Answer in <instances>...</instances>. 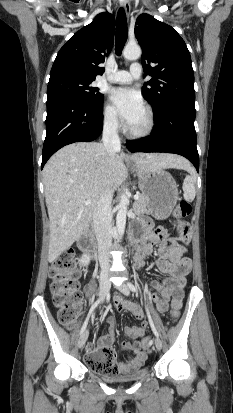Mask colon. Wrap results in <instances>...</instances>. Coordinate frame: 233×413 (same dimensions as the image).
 <instances>
[{
    "mask_svg": "<svg viewBox=\"0 0 233 413\" xmlns=\"http://www.w3.org/2000/svg\"><path fill=\"white\" fill-rule=\"evenodd\" d=\"M191 204L181 200L174 210L176 222L175 229L184 232L187 226L182 219L190 215ZM51 293L54 305L58 312L59 322L67 329L73 328L76 318L81 310L82 293L80 291V271L78 270L72 251H64L50 266ZM180 316V307L172 306L170 317L176 322ZM152 340L149 336L143 339L142 345L147 352ZM87 365L98 373L114 375L119 373L116 353L110 348L101 349L97 357L88 356L85 359Z\"/></svg>",
    "mask_w": 233,
    "mask_h": 413,
    "instance_id": "5ec220e1",
    "label": "colon"
}]
</instances>
